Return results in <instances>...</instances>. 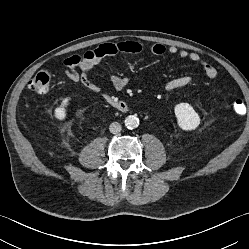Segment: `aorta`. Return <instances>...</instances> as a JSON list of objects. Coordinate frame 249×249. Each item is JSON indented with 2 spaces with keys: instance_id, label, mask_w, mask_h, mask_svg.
<instances>
[{
  "instance_id": "1",
  "label": "aorta",
  "mask_w": 249,
  "mask_h": 249,
  "mask_svg": "<svg viewBox=\"0 0 249 249\" xmlns=\"http://www.w3.org/2000/svg\"><path fill=\"white\" fill-rule=\"evenodd\" d=\"M124 123L128 129H134V128L138 127L139 119L134 115H130V116L126 117Z\"/></svg>"
}]
</instances>
